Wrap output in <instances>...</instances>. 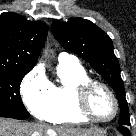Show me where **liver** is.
Masks as SVG:
<instances>
[{"label":"liver","instance_id":"1","mask_svg":"<svg viewBox=\"0 0 136 136\" xmlns=\"http://www.w3.org/2000/svg\"><path fill=\"white\" fill-rule=\"evenodd\" d=\"M0 136H106V133L93 128L57 127L52 129L43 124L21 123L12 119L0 118Z\"/></svg>","mask_w":136,"mask_h":136}]
</instances>
